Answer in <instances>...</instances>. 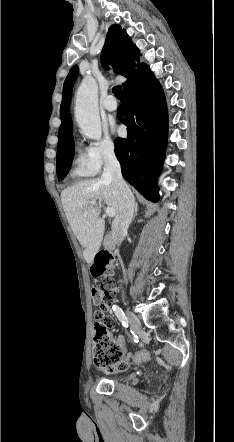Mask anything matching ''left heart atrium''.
Listing matches in <instances>:
<instances>
[{
  "label": "left heart atrium",
  "mask_w": 234,
  "mask_h": 442,
  "mask_svg": "<svg viewBox=\"0 0 234 442\" xmlns=\"http://www.w3.org/2000/svg\"><path fill=\"white\" fill-rule=\"evenodd\" d=\"M113 131L118 133L119 132V128L113 125Z\"/></svg>",
  "instance_id": "obj_1"
}]
</instances>
